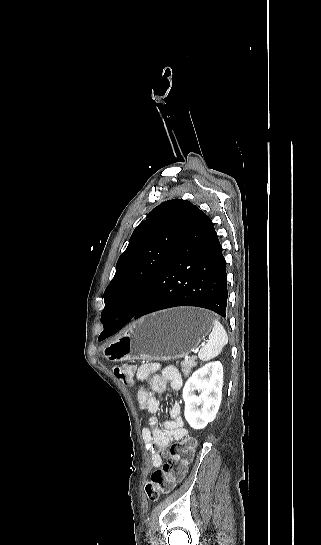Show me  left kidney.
Wrapping results in <instances>:
<instances>
[{
    "label": "left kidney",
    "mask_w": 321,
    "mask_h": 545,
    "mask_svg": "<svg viewBox=\"0 0 321 545\" xmlns=\"http://www.w3.org/2000/svg\"><path fill=\"white\" fill-rule=\"evenodd\" d=\"M223 367L220 361L208 363L192 373L183 389L184 417L192 429H204L214 421L221 403ZM195 391H201L197 397ZM201 407V409H199Z\"/></svg>",
    "instance_id": "left-kidney-1"
}]
</instances>
